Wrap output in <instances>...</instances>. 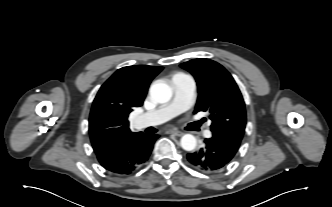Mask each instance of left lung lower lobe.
Listing matches in <instances>:
<instances>
[{
    "instance_id": "1",
    "label": "left lung lower lobe",
    "mask_w": 332,
    "mask_h": 207,
    "mask_svg": "<svg viewBox=\"0 0 332 207\" xmlns=\"http://www.w3.org/2000/svg\"><path fill=\"white\" fill-rule=\"evenodd\" d=\"M204 142L202 148L187 155L188 161L203 172L223 169L233 159L241 143L240 140L217 133H213L212 137Z\"/></svg>"
}]
</instances>
